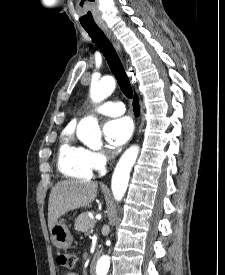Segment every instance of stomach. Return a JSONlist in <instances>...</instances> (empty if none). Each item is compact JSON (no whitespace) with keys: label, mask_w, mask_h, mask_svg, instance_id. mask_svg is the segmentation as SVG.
<instances>
[{"label":"stomach","mask_w":225,"mask_h":275,"mask_svg":"<svg viewBox=\"0 0 225 275\" xmlns=\"http://www.w3.org/2000/svg\"><path fill=\"white\" fill-rule=\"evenodd\" d=\"M50 234L53 245L59 249H66L72 244L73 236L69 227L62 221L53 225Z\"/></svg>","instance_id":"0dacf381"}]
</instances>
